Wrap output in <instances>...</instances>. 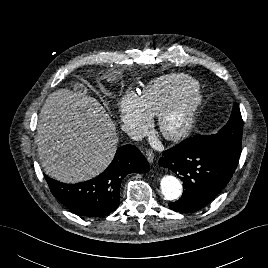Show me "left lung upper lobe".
Wrapping results in <instances>:
<instances>
[{
    "instance_id": "left-lung-upper-lobe-1",
    "label": "left lung upper lobe",
    "mask_w": 268,
    "mask_h": 268,
    "mask_svg": "<svg viewBox=\"0 0 268 268\" xmlns=\"http://www.w3.org/2000/svg\"><path fill=\"white\" fill-rule=\"evenodd\" d=\"M243 120L237 103H234L228 123L214 135H195L197 144L219 149L234 156H240Z\"/></svg>"
}]
</instances>
